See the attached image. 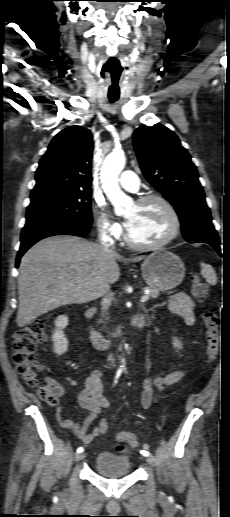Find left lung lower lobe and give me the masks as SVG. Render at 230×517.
<instances>
[{
  "label": "left lung lower lobe",
  "mask_w": 230,
  "mask_h": 517,
  "mask_svg": "<svg viewBox=\"0 0 230 517\" xmlns=\"http://www.w3.org/2000/svg\"><path fill=\"white\" fill-rule=\"evenodd\" d=\"M190 243H196V242H201V243H208L210 244L214 249H216V251L218 252V254L221 255V250H220V247H219V239L218 237H207V238H200L198 240H195V241H188Z\"/></svg>",
  "instance_id": "obj_1"
}]
</instances>
